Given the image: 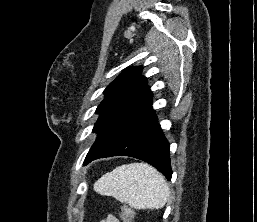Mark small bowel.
Listing matches in <instances>:
<instances>
[{
    "mask_svg": "<svg viewBox=\"0 0 257 222\" xmlns=\"http://www.w3.org/2000/svg\"><path fill=\"white\" fill-rule=\"evenodd\" d=\"M101 222H119V220L115 216L109 215Z\"/></svg>",
    "mask_w": 257,
    "mask_h": 222,
    "instance_id": "c3829d8e",
    "label": "small bowel"
}]
</instances>
